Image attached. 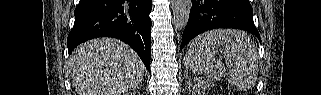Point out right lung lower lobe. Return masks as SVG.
Returning a JSON list of instances; mask_svg holds the SVG:
<instances>
[{
	"label": "right lung lower lobe",
	"mask_w": 321,
	"mask_h": 95,
	"mask_svg": "<svg viewBox=\"0 0 321 95\" xmlns=\"http://www.w3.org/2000/svg\"><path fill=\"white\" fill-rule=\"evenodd\" d=\"M152 0H80L67 38L68 52L97 37H113L129 44L150 70Z\"/></svg>",
	"instance_id": "right-lung-lower-lobe-1"
}]
</instances>
